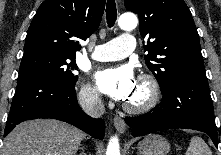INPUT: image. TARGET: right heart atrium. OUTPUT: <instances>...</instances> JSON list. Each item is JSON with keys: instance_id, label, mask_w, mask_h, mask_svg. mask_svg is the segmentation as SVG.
<instances>
[{"instance_id": "right-heart-atrium-1", "label": "right heart atrium", "mask_w": 221, "mask_h": 155, "mask_svg": "<svg viewBox=\"0 0 221 155\" xmlns=\"http://www.w3.org/2000/svg\"><path fill=\"white\" fill-rule=\"evenodd\" d=\"M79 100L85 106H97L101 103L98 90L90 83H84L79 91Z\"/></svg>"}]
</instances>
